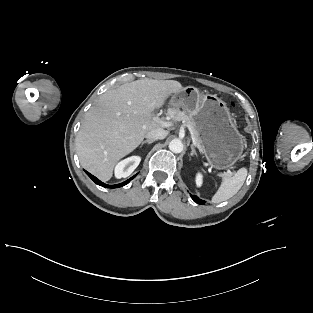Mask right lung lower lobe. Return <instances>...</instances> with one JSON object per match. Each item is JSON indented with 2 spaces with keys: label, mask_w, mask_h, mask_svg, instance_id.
<instances>
[{
  "label": "right lung lower lobe",
  "mask_w": 313,
  "mask_h": 313,
  "mask_svg": "<svg viewBox=\"0 0 313 313\" xmlns=\"http://www.w3.org/2000/svg\"><path fill=\"white\" fill-rule=\"evenodd\" d=\"M86 174L98 185L105 187V188H118V187H122L126 184H128L135 176H133L132 178L120 183V184H116V185H107L103 182H101L99 179H97L95 176H93L92 174H90L89 172L85 171Z\"/></svg>",
  "instance_id": "right-lung-lower-lobe-1"
}]
</instances>
